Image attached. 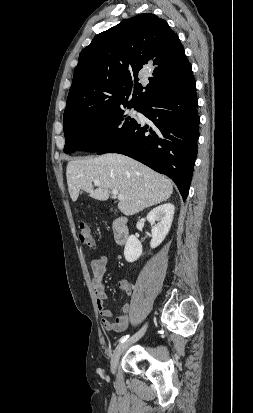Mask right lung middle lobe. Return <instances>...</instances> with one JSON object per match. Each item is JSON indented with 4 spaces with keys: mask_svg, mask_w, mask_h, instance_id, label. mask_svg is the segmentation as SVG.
I'll use <instances>...</instances> for the list:
<instances>
[{
    "mask_svg": "<svg viewBox=\"0 0 253 413\" xmlns=\"http://www.w3.org/2000/svg\"><path fill=\"white\" fill-rule=\"evenodd\" d=\"M135 109L138 110V107ZM136 124L137 121L128 117L122 107L77 116L63 124L64 152H98L117 141Z\"/></svg>",
    "mask_w": 253,
    "mask_h": 413,
    "instance_id": "obj_1",
    "label": "right lung middle lobe"
}]
</instances>
